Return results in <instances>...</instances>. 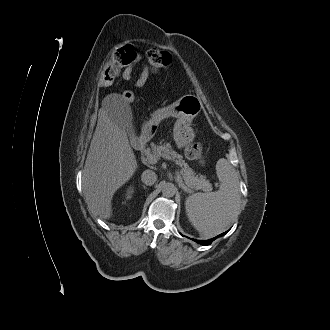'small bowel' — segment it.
Wrapping results in <instances>:
<instances>
[{
	"mask_svg": "<svg viewBox=\"0 0 330 330\" xmlns=\"http://www.w3.org/2000/svg\"><path fill=\"white\" fill-rule=\"evenodd\" d=\"M140 64H141V56L138 53H136L135 60L133 61V63L128 67L124 68L121 71L120 76L124 80H130L134 75V71L136 67L139 66ZM149 76H150L149 69L147 68V66L142 65V69L135 81V86L137 88H143L147 84L149 80Z\"/></svg>",
	"mask_w": 330,
	"mask_h": 330,
	"instance_id": "1",
	"label": "small bowel"
}]
</instances>
